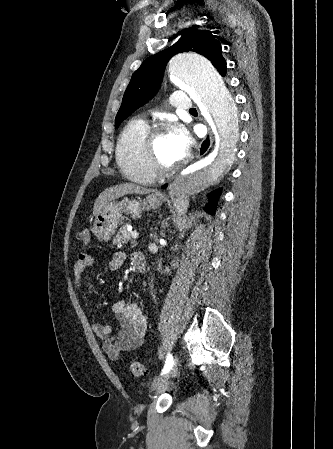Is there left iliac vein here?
Segmentation results:
<instances>
[{
	"instance_id": "left-iliac-vein-1",
	"label": "left iliac vein",
	"mask_w": 333,
	"mask_h": 449,
	"mask_svg": "<svg viewBox=\"0 0 333 449\" xmlns=\"http://www.w3.org/2000/svg\"><path fill=\"white\" fill-rule=\"evenodd\" d=\"M178 361H179V358L176 355L175 356V360H174V365L171 368V370L168 373H166V374H163V375H160V376L156 377L152 381L151 386H150V389L152 391L158 390V389L164 387L167 384L168 380L170 379V377L172 376V374L175 372V370L177 368Z\"/></svg>"
}]
</instances>
